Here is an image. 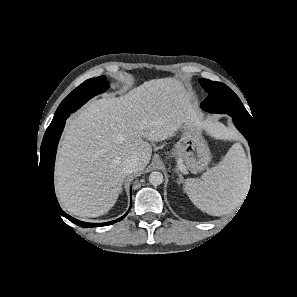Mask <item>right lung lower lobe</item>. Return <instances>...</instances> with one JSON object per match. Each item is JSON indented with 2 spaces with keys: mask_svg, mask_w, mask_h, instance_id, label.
Here are the masks:
<instances>
[{
  "mask_svg": "<svg viewBox=\"0 0 297 297\" xmlns=\"http://www.w3.org/2000/svg\"><path fill=\"white\" fill-rule=\"evenodd\" d=\"M64 119L58 126L51 130H47L44 134L43 141L40 147V162L39 169L40 175L42 178V185L44 190L46 191V195H48V199L54 209L61 215L72 221L73 223L81 226V227H99V226H107L113 223H116L122 220L128 212L122 216L121 218L106 222V223H87L79 221L68 214H66L59 206L58 201L54 192V184H53V172H54V162L56 156L57 145L63 131L65 125Z\"/></svg>",
  "mask_w": 297,
  "mask_h": 297,
  "instance_id": "1",
  "label": "right lung lower lobe"
}]
</instances>
